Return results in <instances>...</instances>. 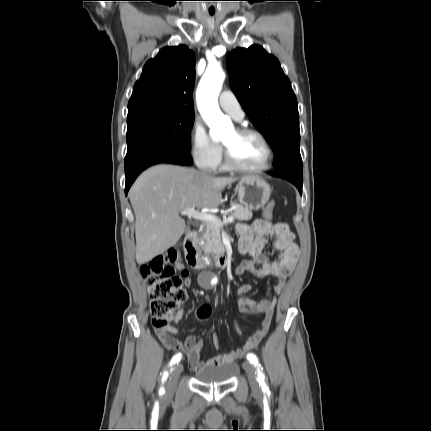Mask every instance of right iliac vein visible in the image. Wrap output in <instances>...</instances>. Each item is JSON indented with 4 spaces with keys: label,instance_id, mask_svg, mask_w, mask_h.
<instances>
[{
    "label": "right iliac vein",
    "instance_id": "right-iliac-vein-1",
    "mask_svg": "<svg viewBox=\"0 0 431 431\" xmlns=\"http://www.w3.org/2000/svg\"><path fill=\"white\" fill-rule=\"evenodd\" d=\"M183 371V364L182 363H177L171 372V379H170V384H169V391H172L177 383V380L179 378V375L182 373Z\"/></svg>",
    "mask_w": 431,
    "mask_h": 431
}]
</instances>
